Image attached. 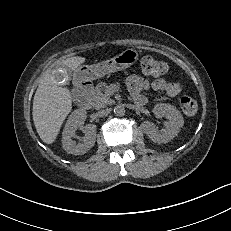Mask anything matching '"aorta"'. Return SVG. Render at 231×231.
I'll return each instance as SVG.
<instances>
[{"label":"aorta","instance_id":"762f6f07","mask_svg":"<svg viewBox=\"0 0 231 231\" xmlns=\"http://www.w3.org/2000/svg\"><path fill=\"white\" fill-rule=\"evenodd\" d=\"M114 114L116 116H123L125 114V108L122 105H117L114 108Z\"/></svg>","mask_w":231,"mask_h":231}]
</instances>
